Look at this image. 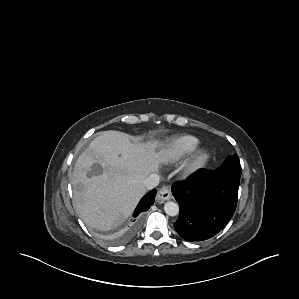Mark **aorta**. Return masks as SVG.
I'll return each mask as SVG.
<instances>
[{
	"label": "aorta",
	"instance_id": "762f6f07",
	"mask_svg": "<svg viewBox=\"0 0 299 299\" xmlns=\"http://www.w3.org/2000/svg\"><path fill=\"white\" fill-rule=\"evenodd\" d=\"M164 211L169 216H177L179 214V205L173 201H168L164 205Z\"/></svg>",
	"mask_w": 299,
	"mask_h": 299
}]
</instances>
